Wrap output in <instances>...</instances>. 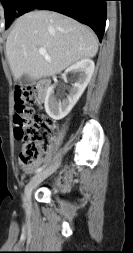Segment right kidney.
I'll return each mask as SVG.
<instances>
[{
	"mask_svg": "<svg viewBox=\"0 0 133 253\" xmlns=\"http://www.w3.org/2000/svg\"><path fill=\"white\" fill-rule=\"evenodd\" d=\"M94 62L91 59H83L70 66L65 73H71L75 77L69 94L60 99L54 94L55 86H51L45 98V111L54 120H60L67 116L77 103L94 72Z\"/></svg>",
	"mask_w": 133,
	"mask_h": 253,
	"instance_id": "obj_1",
	"label": "right kidney"
}]
</instances>
